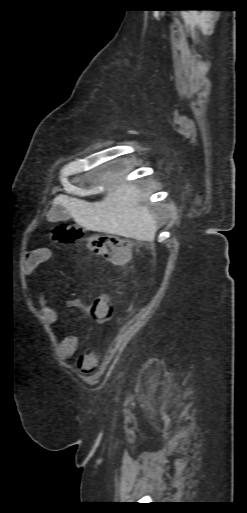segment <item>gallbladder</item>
I'll return each mask as SVG.
<instances>
[{
    "label": "gallbladder",
    "instance_id": "1",
    "mask_svg": "<svg viewBox=\"0 0 247 513\" xmlns=\"http://www.w3.org/2000/svg\"><path fill=\"white\" fill-rule=\"evenodd\" d=\"M49 218L52 220L51 222H59L68 220L71 218V216L63 206L58 205L51 210L49 213Z\"/></svg>",
    "mask_w": 247,
    "mask_h": 513
}]
</instances>
